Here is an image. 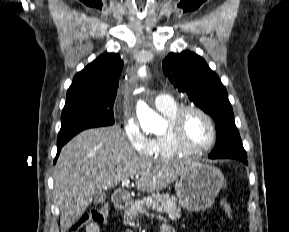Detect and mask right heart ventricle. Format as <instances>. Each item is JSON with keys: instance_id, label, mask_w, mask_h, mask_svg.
<instances>
[{"instance_id": "obj_1", "label": "right heart ventricle", "mask_w": 289, "mask_h": 232, "mask_svg": "<svg viewBox=\"0 0 289 232\" xmlns=\"http://www.w3.org/2000/svg\"><path fill=\"white\" fill-rule=\"evenodd\" d=\"M180 107L173 101L169 106L158 109L170 122ZM190 153L179 148L172 139L169 129L152 139L151 156L155 158H173L185 156Z\"/></svg>"}]
</instances>
